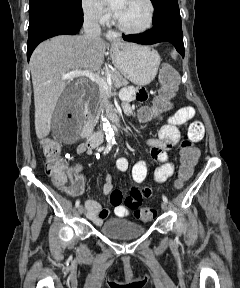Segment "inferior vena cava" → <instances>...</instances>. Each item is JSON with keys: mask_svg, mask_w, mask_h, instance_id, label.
<instances>
[{"mask_svg": "<svg viewBox=\"0 0 240 288\" xmlns=\"http://www.w3.org/2000/svg\"><path fill=\"white\" fill-rule=\"evenodd\" d=\"M99 11L95 8L90 9L84 14L83 32L84 37L90 42L100 39L101 28L98 23Z\"/></svg>", "mask_w": 240, "mask_h": 288, "instance_id": "obj_1", "label": "inferior vena cava"}]
</instances>
